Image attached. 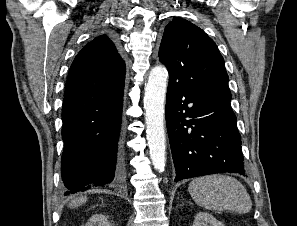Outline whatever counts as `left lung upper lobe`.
<instances>
[{
    "label": "left lung upper lobe",
    "instance_id": "obj_1",
    "mask_svg": "<svg viewBox=\"0 0 297 226\" xmlns=\"http://www.w3.org/2000/svg\"><path fill=\"white\" fill-rule=\"evenodd\" d=\"M159 59L169 78L196 90L230 93L224 59L214 41L196 25L175 18L164 31Z\"/></svg>",
    "mask_w": 297,
    "mask_h": 226
}]
</instances>
